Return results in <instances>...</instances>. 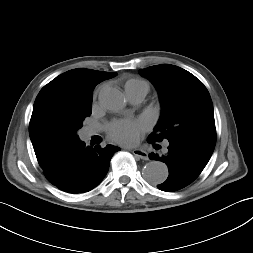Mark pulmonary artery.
<instances>
[{"mask_svg":"<svg viewBox=\"0 0 253 253\" xmlns=\"http://www.w3.org/2000/svg\"><path fill=\"white\" fill-rule=\"evenodd\" d=\"M148 90L146 88H135L131 90L126 91V95L129 99V101L133 104L140 103L146 96ZM96 133V130L94 128H86L84 130V135L86 137H91ZM168 146V142H165V147Z\"/></svg>","mask_w":253,"mask_h":253,"instance_id":"e3ab8cb5","label":"pulmonary artery"}]
</instances>
